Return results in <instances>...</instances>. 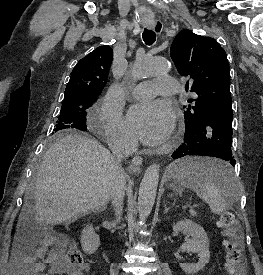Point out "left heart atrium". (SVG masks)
Returning a JSON list of instances; mask_svg holds the SVG:
<instances>
[{
    "label": "left heart atrium",
    "instance_id": "obj_1",
    "mask_svg": "<svg viewBox=\"0 0 263 275\" xmlns=\"http://www.w3.org/2000/svg\"><path fill=\"white\" fill-rule=\"evenodd\" d=\"M131 132L147 145L164 143L172 134L174 117L162 101H143L133 105L127 114Z\"/></svg>",
    "mask_w": 263,
    "mask_h": 275
}]
</instances>
